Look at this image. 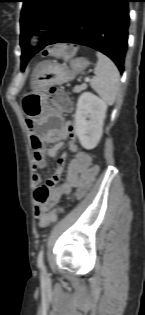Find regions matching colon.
Masks as SVG:
<instances>
[{"label":"colon","instance_id":"5ec220e1","mask_svg":"<svg viewBox=\"0 0 145 315\" xmlns=\"http://www.w3.org/2000/svg\"><path fill=\"white\" fill-rule=\"evenodd\" d=\"M77 53V47L73 44H63L55 47L50 51H46L45 55L53 54L59 57L69 59ZM48 97L50 101L59 109L67 111L71 109V101L68 95L60 89H52ZM62 212V208H57L55 210L47 213L41 221V227H47L56 221L58 214Z\"/></svg>","mask_w":145,"mask_h":315}]
</instances>
